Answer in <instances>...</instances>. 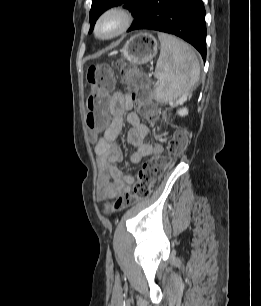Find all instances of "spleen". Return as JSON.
<instances>
[{"instance_id":"3e777b00","label":"spleen","mask_w":261,"mask_h":306,"mask_svg":"<svg viewBox=\"0 0 261 306\" xmlns=\"http://www.w3.org/2000/svg\"><path fill=\"white\" fill-rule=\"evenodd\" d=\"M161 52L156 64L155 89L157 101L182 103L195 88L200 78L199 61L189 45L179 39L158 33Z\"/></svg>"}]
</instances>
